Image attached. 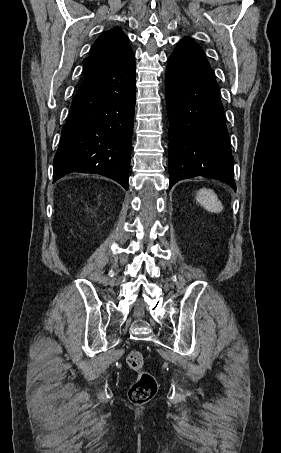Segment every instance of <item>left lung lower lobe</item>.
<instances>
[{"instance_id": "left-lung-lower-lobe-1", "label": "left lung lower lobe", "mask_w": 281, "mask_h": 453, "mask_svg": "<svg viewBox=\"0 0 281 453\" xmlns=\"http://www.w3.org/2000/svg\"><path fill=\"white\" fill-rule=\"evenodd\" d=\"M170 188L182 179H218L236 190L223 105L204 51L183 38L168 59Z\"/></svg>"}]
</instances>
